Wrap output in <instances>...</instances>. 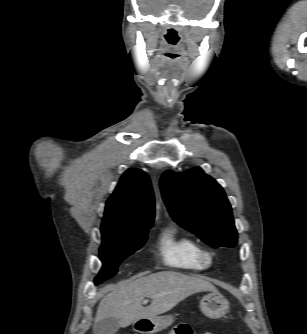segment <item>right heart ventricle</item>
I'll return each instance as SVG.
<instances>
[{
	"mask_svg": "<svg viewBox=\"0 0 307 334\" xmlns=\"http://www.w3.org/2000/svg\"><path fill=\"white\" fill-rule=\"evenodd\" d=\"M156 248L166 266L184 271H201L205 268L198 257L199 244L173 224L160 231Z\"/></svg>",
	"mask_w": 307,
	"mask_h": 334,
	"instance_id": "1",
	"label": "right heart ventricle"
}]
</instances>
